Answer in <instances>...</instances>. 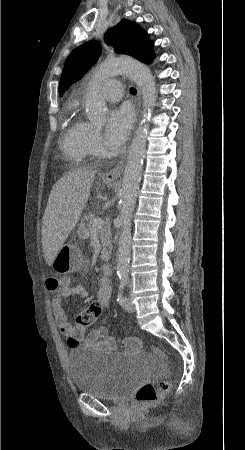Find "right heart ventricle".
I'll return each mask as SVG.
<instances>
[{"instance_id": "e07e8e85", "label": "right heart ventricle", "mask_w": 245, "mask_h": 450, "mask_svg": "<svg viewBox=\"0 0 245 450\" xmlns=\"http://www.w3.org/2000/svg\"><path fill=\"white\" fill-rule=\"evenodd\" d=\"M90 124L81 119H74L64 133L61 146L65 153L72 155L77 161H84L89 154L87 133Z\"/></svg>"}]
</instances>
